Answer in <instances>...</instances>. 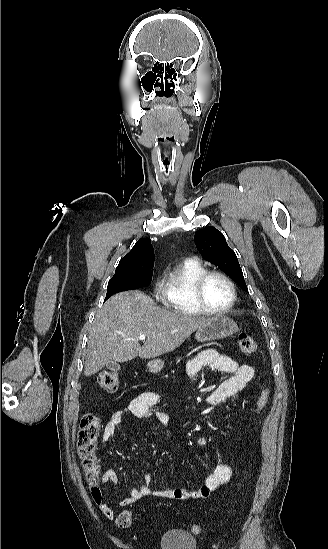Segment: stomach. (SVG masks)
Returning <instances> with one entry per match:
<instances>
[{"label": "stomach", "mask_w": 328, "mask_h": 549, "mask_svg": "<svg viewBox=\"0 0 328 549\" xmlns=\"http://www.w3.org/2000/svg\"><path fill=\"white\" fill-rule=\"evenodd\" d=\"M239 331L237 323L225 317V315H218V317H212L204 327H199L195 333V339L199 343H205V341H215V339H226L231 337ZM164 367V361L162 359H152L148 361L147 369L149 373H160Z\"/></svg>", "instance_id": "obj_1"}]
</instances>
